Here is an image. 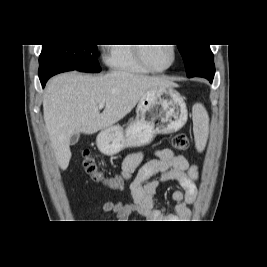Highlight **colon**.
<instances>
[{
  "label": "colon",
  "mask_w": 267,
  "mask_h": 267,
  "mask_svg": "<svg viewBox=\"0 0 267 267\" xmlns=\"http://www.w3.org/2000/svg\"><path fill=\"white\" fill-rule=\"evenodd\" d=\"M172 145L178 151H186L189 148V138L185 133H177L172 139ZM82 166L93 181L103 183L109 188H123L127 183L124 177L106 176L98 161L88 151L84 152Z\"/></svg>",
  "instance_id": "5ec220e1"
}]
</instances>
